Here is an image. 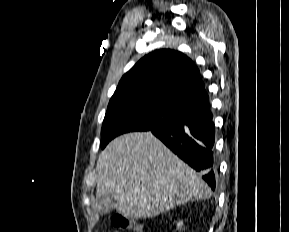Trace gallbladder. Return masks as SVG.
<instances>
[{
	"label": "gallbladder",
	"mask_w": 289,
	"mask_h": 232,
	"mask_svg": "<svg viewBox=\"0 0 289 232\" xmlns=\"http://www.w3.org/2000/svg\"><path fill=\"white\" fill-rule=\"evenodd\" d=\"M97 203L101 214L110 213L114 209L110 195L108 197L98 198Z\"/></svg>",
	"instance_id": "1"
}]
</instances>
